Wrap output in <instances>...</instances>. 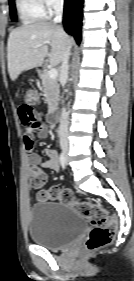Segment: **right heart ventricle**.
I'll return each instance as SVG.
<instances>
[{
    "mask_svg": "<svg viewBox=\"0 0 134 281\" xmlns=\"http://www.w3.org/2000/svg\"><path fill=\"white\" fill-rule=\"evenodd\" d=\"M16 7L23 23L29 24L46 17L40 0H16Z\"/></svg>",
    "mask_w": 134,
    "mask_h": 281,
    "instance_id": "1",
    "label": "right heart ventricle"
}]
</instances>
